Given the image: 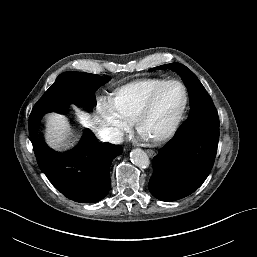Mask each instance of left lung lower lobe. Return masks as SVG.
<instances>
[{
    "label": "left lung lower lobe",
    "mask_w": 257,
    "mask_h": 257,
    "mask_svg": "<svg viewBox=\"0 0 257 257\" xmlns=\"http://www.w3.org/2000/svg\"><path fill=\"white\" fill-rule=\"evenodd\" d=\"M219 128L204 126L193 136L172 138L153 159L148 188L162 201L184 198L199 188L213 166Z\"/></svg>",
    "instance_id": "left-lung-lower-lobe-1"
}]
</instances>
